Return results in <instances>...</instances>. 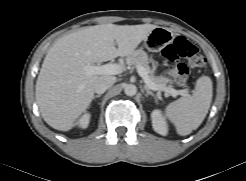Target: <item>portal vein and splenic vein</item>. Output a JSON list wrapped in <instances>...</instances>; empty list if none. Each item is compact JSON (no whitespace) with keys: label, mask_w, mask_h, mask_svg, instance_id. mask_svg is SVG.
I'll return each mask as SVG.
<instances>
[{"label":"portal vein and splenic vein","mask_w":246,"mask_h":181,"mask_svg":"<svg viewBox=\"0 0 246 181\" xmlns=\"http://www.w3.org/2000/svg\"><path fill=\"white\" fill-rule=\"evenodd\" d=\"M83 70L85 72L86 76H91V75H116L122 72V68L118 64H105L101 66H94V65H84ZM137 72L138 74L142 77L144 80L145 84L152 90L157 91H165L169 93L173 97H177L178 95H187L188 90H175L167 87H161L157 84H155L148 76V73L145 71V69L138 65L137 66Z\"/></svg>","instance_id":"obj_1"}]
</instances>
